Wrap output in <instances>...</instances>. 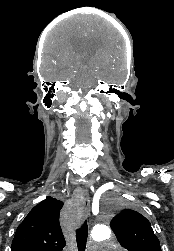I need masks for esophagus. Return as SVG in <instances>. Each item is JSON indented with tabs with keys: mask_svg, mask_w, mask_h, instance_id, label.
I'll use <instances>...</instances> for the list:
<instances>
[{
	"mask_svg": "<svg viewBox=\"0 0 174 251\" xmlns=\"http://www.w3.org/2000/svg\"><path fill=\"white\" fill-rule=\"evenodd\" d=\"M81 203V214L82 216H86L90 212V197L87 190H84L81 194Z\"/></svg>",
	"mask_w": 174,
	"mask_h": 251,
	"instance_id": "esophagus-1",
	"label": "esophagus"
}]
</instances>
